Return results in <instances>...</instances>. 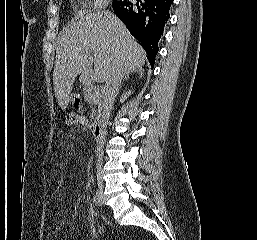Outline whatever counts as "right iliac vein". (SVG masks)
I'll list each match as a JSON object with an SVG mask.
<instances>
[{"label":"right iliac vein","instance_id":"right-iliac-vein-1","mask_svg":"<svg viewBox=\"0 0 257 240\" xmlns=\"http://www.w3.org/2000/svg\"><path fill=\"white\" fill-rule=\"evenodd\" d=\"M100 190L102 191V186L100 185Z\"/></svg>","mask_w":257,"mask_h":240}]
</instances>
